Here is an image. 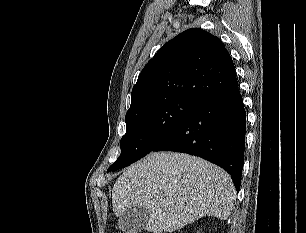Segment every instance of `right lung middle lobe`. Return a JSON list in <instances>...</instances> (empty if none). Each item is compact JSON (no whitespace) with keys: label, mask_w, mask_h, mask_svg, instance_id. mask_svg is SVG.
<instances>
[{"label":"right lung middle lobe","mask_w":306,"mask_h":233,"mask_svg":"<svg viewBox=\"0 0 306 233\" xmlns=\"http://www.w3.org/2000/svg\"><path fill=\"white\" fill-rule=\"evenodd\" d=\"M200 105L187 98L175 97L127 112L121 154L107 172L124 168L153 151Z\"/></svg>","instance_id":"right-lung-middle-lobe-1"}]
</instances>
